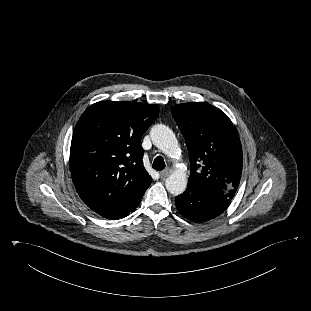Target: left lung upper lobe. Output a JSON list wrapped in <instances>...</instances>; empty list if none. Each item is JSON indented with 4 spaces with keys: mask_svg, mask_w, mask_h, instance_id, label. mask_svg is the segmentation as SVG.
Returning a JSON list of instances; mask_svg holds the SVG:
<instances>
[{
    "mask_svg": "<svg viewBox=\"0 0 311 311\" xmlns=\"http://www.w3.org/2000/svg\"><path fill=\"white\" fill-rule=\"evenodd\" d=\"M171 113L188 148L189 182L232 199L240 182L243 154L231 120L205 102L178 104Z\"/></svg>",
    "mask_w": 311,
    "mask_h": 311,
    "instance_id": "left-lung-upper-lobe-1",
    "label": "left lung upper lobe"
}]
</instances>
